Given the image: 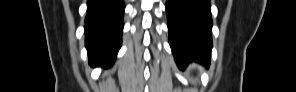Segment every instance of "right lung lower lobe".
Listing matches in <instances>:
<instances>
[{"mask_svg": "<svg viewBox=\"0 0 296 92\" xmlns=\"http://www.w3.org/2000/svg\"><path fill=\"white\" fill-rule=\"evenodd\" d=\"M123 0H89L85 18V45L90 62L112 65L121 47Z\"/></svg>", "mask_w": 296, "mask_h": 92, "instance_id": "right-lung-lower-lobe-1", "label": "right lung lower lobe"}]
</instances>
